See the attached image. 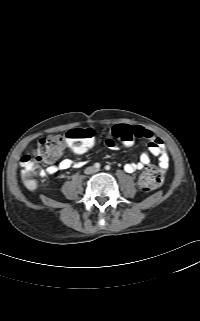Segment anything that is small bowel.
Segmentation results:
<instances>
[{"label":"small bowel","instance_id":"obj_1","mask_svg":"<svg viewBox=\"0 0 200 321\" xmlns=\"http://www.w3.org/2000/svg\"><path fill=\"white\" fill-rule=\"evenodd\" d=\"M134 128L138 131L139 138H144L148 140V151L143 152L140 155L138 161L126 163L124 165L125 171L127 173H134L143 169L145 166L149 164L151 156L157 157L160 168L162 170H166L169 166V156L167 153L166 146L162 139L155 135L151 130L145 129L141 126H134ZM106 145L109 149H117V145L115 141L112 139H108L106 141ZM61 154L62 151L55 158L46 162L47 167L41 170L40 172L42 176L53 175L57 173L59 170H67L74 165V162L68 158H63L59 161L58 164H55L56 161L60 158Z\"/></svg>","mask_w":200,"mask_h":321}]
</instances>
